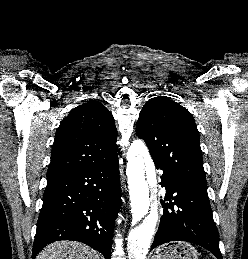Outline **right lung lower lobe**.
Here are the masks:
<instances>
[{"label": "right lung lower lobe", "instance_id": "obj_1", "mask_svg": "<svg viewBox=\"0 0 248 259\" xmlns=\"http://www.w3.org/2000/svg\"><path fill=\"white\" fill-rule=\"evenodd\" d=\"M120 195L117 154L95 166L47 176L32 259L60 240L85 243L110 259Z\"/></svg>", "mask_w": 248, "mask_h": 259}]
</instances>
